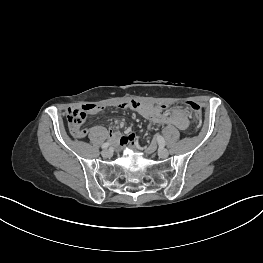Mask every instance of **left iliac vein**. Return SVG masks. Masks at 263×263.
I'll return each mask as SVG.
<instances>
[{"instance_id":"left-iliac-vein-1","label":"left iliac vein","mask_w":263,"mask_h":263,"mask_svg":"<svg viewBox=\"0 0 263 263\" xmlns=\"http://www.w3.org/2000/svg\"><path fill=\"white\" fill-rule=\"evenodd\" d=\"M168 155H169V152H168V150H166V149H160V150L158 151V156H159L160 158H167Z\"/></svg>"}]
</instances>
